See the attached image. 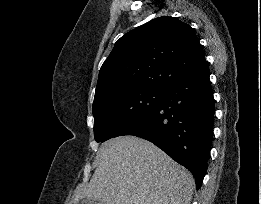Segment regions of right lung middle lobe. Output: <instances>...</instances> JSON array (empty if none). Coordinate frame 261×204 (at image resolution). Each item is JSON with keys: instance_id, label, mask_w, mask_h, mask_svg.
Instances as JSON below:
<instances>
[{"instance_id": "dd1d6c3e", "label": "right lung middle lobe", "mask_w": 261, "mask_h": 204, "mask_svg": "<svg viewBox=\"0 0 261 204\" xmlns=\"http://www.w3.org/2000/svg\"><path fill=\"white\" fill-rule=\"evenodd\" d=\"M164 91L129 89L107 94L93 104L94 138L104 142L120 136L133 123L153 109Z\"/></svg>"}]
</instances>
